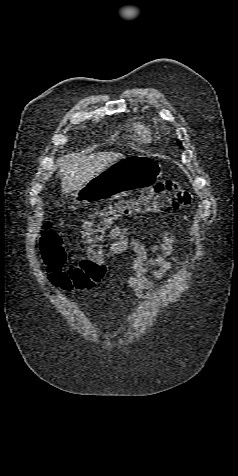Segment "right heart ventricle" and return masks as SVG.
<instances>
[{
	"label": "right heart ventricle",
	"instance_id": "right-heart-ventricle-1",
	"mask_svg": "<svg viewBox=\"0 0 238 476\" xmlns=\"http://www.w3.org/2000/svg\"><path fill=\"white\" fill-rule=\"evenodd\" d=\"M132 129L136 134L139 141L148 143L151 140V130L150 128L142 122H134L132 124Z\"/></svg>",
	"mask_w": 238,
	"mask_h": 476
}]
</instances>
